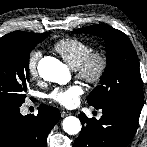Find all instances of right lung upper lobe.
Masks as SVG:
<instances>
[{
  "instance_id": "cb5924a9",
  "label": "right lung upper lobe",
  "mask_w": 147,
  "mask_h": 147,
  "mask_svg": "<svg viewBox=\"0 0 147 147\" xmlns=\"http://www.w3.org/2000/svg\"><path fill=\"white\" fill-rule=\"evenodd\" d=\"M33 35H38V33L16 31L5 35V37H28Z\"/></svg>"
}]
</instances>
